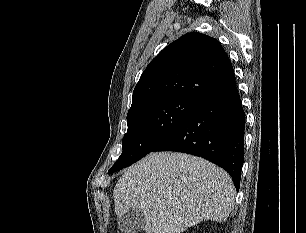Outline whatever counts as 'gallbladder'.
I'll list each match as a JSON object with an SVG mask.
<instances>
[{
	"label": "gallbladder",
	"mask_w": 306,
	"mask_h": 233,
	"mask_svg": "<svg viewBox=\"0 0 306 233\" xmlns=\"http://www.w3.org/2000/svg\"><path fill=\"white\" fill-rule=\"evenodd\" d=\"M118 224L123 233H138L144 227L145 216L141 210L131 208L119 218Z\"/></svg>",
	"instance_id": "gallbladder-1"
}]
</instances>
